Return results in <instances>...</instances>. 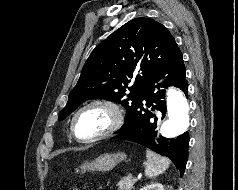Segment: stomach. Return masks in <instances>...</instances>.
<instances>
[{
	"instance_id": "obj_1",
	"label": "stomach",
	"mask_w": 238,
	"mask_h": 190,
	"mask_svg": "<svg viewBox=\"0 0 238 190\" xmlns=\"http://www.w3.org/2000/svg\"><path fill=\"white\" fill-rule=\"evenodd\" d=\"M126 159L124 153L102 154L92 162H85L81 165V170L106 172L112 170L116 165Z\"/></svg>"
}]
</instances>
